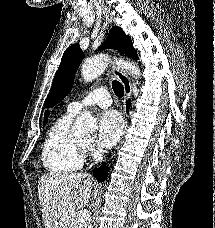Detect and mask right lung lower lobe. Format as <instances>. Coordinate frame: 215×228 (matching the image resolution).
I'll use <instances>...</instances> for the list:
<instances>
[{
    "instance_id": "right-lung-lower-lobe-1",
    "label": "right lung lower lobe",
    "mask_w": 215,
    "mask_h": 228,
    "mask_svg": "<svg viewBox=\"0 0 215 228\" xmlns=\"http://www.w3.org/2000/svg\"><path fill=\"white\" fill-rule=\"evenodd\" d=\"M129 106H130V101L127 100V109L129 108ZM107 172H108V167L106 165H102L93 171V175L97 180L103 182L107 178Z\"/></svg>"
}]
</instances>
